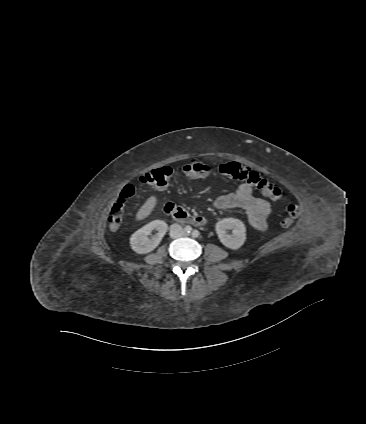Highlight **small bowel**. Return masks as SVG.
Returning <instances> with one entry per match:
<instances>
[{"label":"small bowel","instance_id":"obj_1","mask_svg":"<svg viewBox=\"0 0 366 424\" xmlns=\"http://www.w3.org/2000/svg\"><path fill=\"white\" fill-rule=\"evenodd\" d=\"M214 205L218 209L239 208L245 211L251 227L264 231L267 228V218L271 212L267 200L257 197L248 183L241 184L236 191L220 195Z\"/></svg>","mask_w":366,"mask_h":424}]
</instances>
